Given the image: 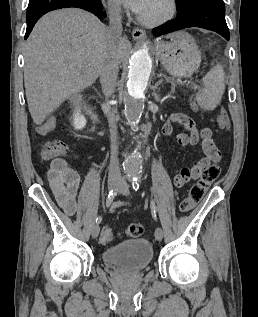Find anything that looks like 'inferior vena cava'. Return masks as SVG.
Returning a JSON list of instances; mask_svg holds the SVG:
<instances>
[{"mask_svg": "<svg viewBox=\"0 0 258 317\" xmlns=\"http://www.w3.org/2000/svg\"><path fill=\"white\" fill-rule=\"evenodd\" d=\"M108 14L110 24L107 28L106 50L103 54L100 68V82L106 98H109L112 92H114L116 80L118 78L119 58L117 56V44L119 38H121V32L123 30L121 20V8L119 4H112V2H108ZM108 116L111 138V159L108 178L111 181H116L121 178L118 163V144L116 130V122L119 116H116L114 112H109Z\"/></svg>", "mask_w": 258, "mask_h": 317, "instance_id": "1", "label": "inferior vena cava"}]
</instances>
